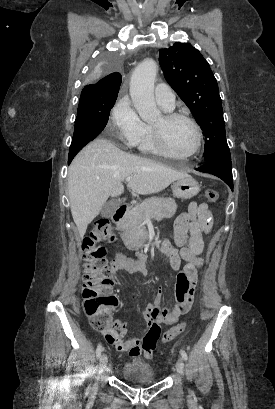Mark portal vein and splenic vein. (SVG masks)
Returning a JSON list of instances; mask_svg holds the SVG:
<instances>
[{
  "mask_svg": "<svg viewBox=\"0 0 275 409\" xmlns=\"http://www.w3.org/2000/svg\"><path fill=\"white\" fill-rule=\"evenodd\" d=\"M132 178H134V176H127L126 182H129V180H132Z\"/></svg>",
  "mask_w": 275,
  "mask_h": 409,
  "instance_id": "portal-vein-and-splenic-vein-1",
  "label": "portal vein and splenic vein"
}]
</instances>
